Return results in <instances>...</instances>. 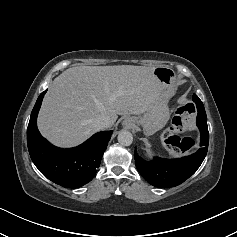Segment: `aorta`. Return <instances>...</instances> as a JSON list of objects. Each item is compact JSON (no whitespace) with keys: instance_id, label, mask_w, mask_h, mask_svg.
<instances>
[{"instance_id":"1","label":"aorta","mask_w":237,"mask_h":237,"mask_svg":"<svg viewBox=\"0 0 237 237\" xmlns=\"http://www.w3.org/2000/svg\"><path fill=\"white\" fill-rule=\"evenodd\" d=\"M117 139H118V142L122 146H130L133 142V136H132L131 132L126 131V130L120 131Z\"/></svg>"}]
</instances>
